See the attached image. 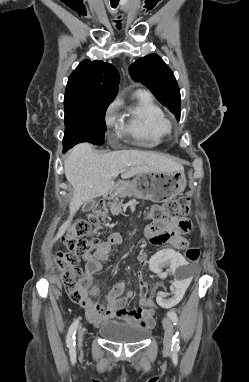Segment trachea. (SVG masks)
Listing matches in <instances>:
<instances>
[{
  "instance_id": "obj_1",
  "label": "trachea",
  "mask_w": 249,
  "mask_h": 382,
  "mask_svg": "<svg viewBox=\"0 0 249 382\" xmlns=\"http://www.w3.org/2000/svg\"><path fill=\"white\" fill-rule=\"evenodd\" d=\"M111 1V0H110ZM118 3H119V0H117L116 2H112L111 1V7L112 8H116L118 6Z\"/></svg>"
}]
</instances>
